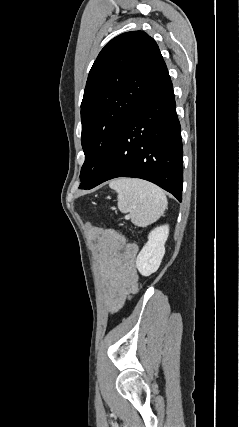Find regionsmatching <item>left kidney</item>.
<instances>
[{
	"label": "left kidney",
	"instance_id": "left-kidney-1",
	"mask_svg": "<svg viewBox=\"0 0 239 427\" xmlns=\"http://www.w3.org/2000/svg\"><path fill=\"white\" fill-rule=\"evenodd\" d=\"M168 235V225L156 227L149 233L148 241L136 259V266L141 275L149 276L157 271L165 254Z\"/></svg>",
	"mask_w": 239,
	"mask_h": 427
}]
</instances>
